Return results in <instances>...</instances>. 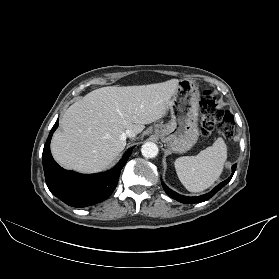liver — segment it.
Wrapping results in <instances>:
<instances>
[{"instance_id": "6515ba94", "label": "liver", "mask_w": 279, "mask_h": 279, "mask_svg": "<svg viewBox=\"0 0 279 279\" xmlns=\"http://www.w3.org/2000/svg\"><path fill=\"white\" fill-rule=\"evenodd\" d=\"M179 80L141 86L96 89L72 104L54 133L51 153L64 168L93 174L107 168L124 150L126 131L167 114Z\"/></svg>"}]
</instances>
